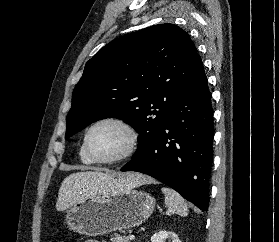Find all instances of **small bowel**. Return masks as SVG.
<instances>
[{"mask_svg": "<svg viewBox=\"0 0 279 242\" xmlns=\"http://www.w3.org/2000/svg\"><path fill=\"white\" fill-rule=\"evenodd\" d=\"M86 242H99L97 240H87Z\"/></svg>", "mask_w": 279, "mask_h": 242, "instance_id": "c3829d8e", "label": "small bowel"}]
</instances>
